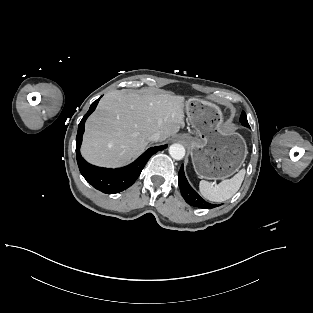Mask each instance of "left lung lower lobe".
I'll list each match as a JSON object with an SVG mask.
<instances>
[{"label":"left lung lower lobe","mask_w":313,"mask_h":313,"mask_svg":"<svg viewBox=\"0 0 313 313\" xmlns=\"http://www.w3.org/2000/svg\"><path fill=\"white\" fill-rule=\"evenodd\" d=\"M178 184L183 198L189 205L203 209H211L216 207L215 204H210L202 199L200 195L189 185L184 174L183 165L181 166L178 173Z\"/></svg>","instance_id":"0a47b994"}]
</instances>
